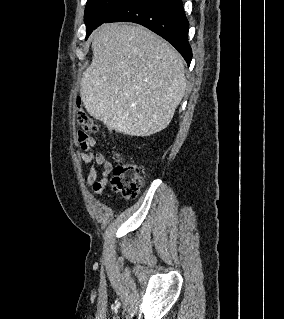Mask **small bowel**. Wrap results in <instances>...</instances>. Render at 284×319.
Listing matches in <instances>:
<instances>
[{"label":"small bowel","mask_w":284,"mask_h":319,"mask_svg":"<svg viewBox=\"0 0 284 319\" xmlns=\"http://www.w3.org/2000/svg\"><path fill=\"white\" fill-rule=\"evenodd\" d=\"M76 138L81 149L79 152L80 160L85 164H90L86 180L87 184L96 195H103L108 184V175L112 172L113 165L106 159L104 154L93 151L95 145L93 137L86 132L78 131Z\"/></svg>","instance_id":"small-bowel-1"}]
</instances>
